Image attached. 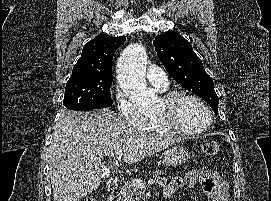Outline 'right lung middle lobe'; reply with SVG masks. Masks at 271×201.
Listing matches in <instances>:
<instances>
[{"instance_id":"1","label":"right lung middle lobe","mask_w":271,"mask_h":201,"mask_svg":"<svg viewBox=\"0 0 271 201\" xmlns=\"http://www.w3.org/2000/svg\"><path fill=\"white\" fill-rule=\"evenodd\" d=\"M112 80V74H72L66 84L63 105L77 111L109 107L113 103Z\"/></svg>"}]
</instances>
